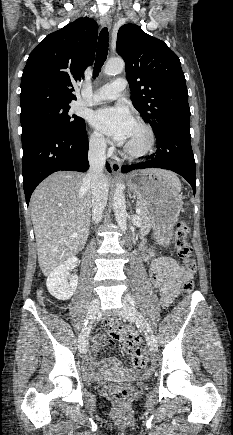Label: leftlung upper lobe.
I'll use <instances>...</instances> for the list:
<instances>
[{"instance_id": "5c2ea615", "label": "left lung upper lobe", "mask_w": 233, "mask_h": 435, "mask_svg": "<svg viewBox=\"0 0 233 435\" xmlns=\"http://www.w3.org/2000/svg\"><path fill=\"white\" fill-rule=\"evenodd\" d=\"M116 50L125 61L132 103L155 136L189 126L188 92L177 55L135 24L120 27Z\"/></svg>"}]
</instances>
